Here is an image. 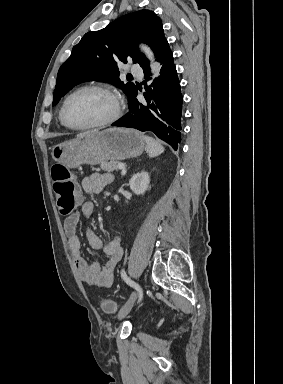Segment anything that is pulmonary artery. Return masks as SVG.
Here are the masks:
<instances>
[{"label":"pulmonary artery","mask_w":283,"mask_h":384,"mask_svg":"<svg viewBox=\"0 0 283 384\" xmlns=\"http://www.w3.org/2000/svg\"><path fill=\"white\" fill-rule=\"evenodd\" d=\"M130 74L141 76L143 74V69L139 68L138 64H131L130 65Z\"/></svg>","instance_id":"1"}]
</instances>
